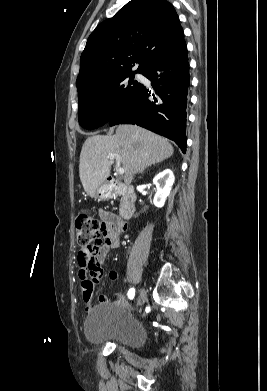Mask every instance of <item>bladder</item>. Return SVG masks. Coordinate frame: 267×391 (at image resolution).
Wrapping results in <instances>:
<instances>
[{
    "mask_svg": "<svg viewBox=\"0 0 267 391\" xmlns=\"http://www.w3.org/2000/svg\"><path fill=\"white\" fill-rule=\"evenodd\" d=\"M85 337L91 344L114 343L131 349L143 345L146 331L143 324L118 303L97 305L86 319Z\"/></svg>",
    "mask_w": 267,
    "mask_h": 391,
    "instance_id": "1",
    "label": "bladder"
}]
</instances>
